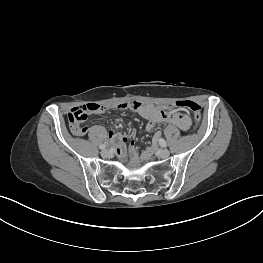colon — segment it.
Instances as JSON below:
<instances>
[{"mask_svg": "<svg viewBox=\"0 0 263 263\" xmlns=\"http://www.w3.org/2000/svg\"><path fill=\"white\" fill-rule=\"evenodd\" d=\"M92 105L80 106L73 108L68 114V120L71 131L77 135L82 136L86 133V128L81 126V123L86 119L90 111L98 110L100 105L91 103ZM178 107L189 110L192 113L193 119L197 122L201 118V106L190 100L179 101L176 104Z\"/></svg>", "mask_w": 263, "mask_h": 263, "instance_id": "colon-1", "label": "colon"}]
</instances>
